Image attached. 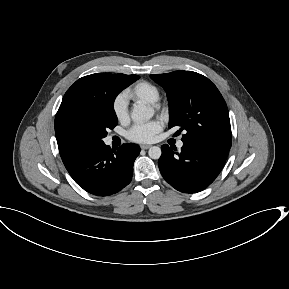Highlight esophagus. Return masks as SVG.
Returning <instances> with one entry per match:
<instances>
[{
  "mask_svg": "<svg viewBox=\"0 0 289 289\" xmlns=\"http://www.w3.org/2000/svg\"><path fill=\"white\" fill-rule=\"evenodd\" d=\"M140 147H141V149L146 150V149H149L151 146L150 145H141Z\"/></svg>",
  "mask_w": 289,
  "mask_h": 289,
  "instance_id": "1",
  "label": "esophagus"
}]
</instances>
